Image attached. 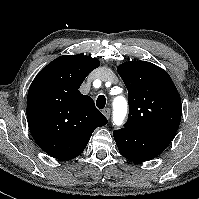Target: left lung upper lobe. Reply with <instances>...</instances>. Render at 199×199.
Masks as SVG:
<instances>
[{"label":"left lung upper lobe","instance_id":"left-lung-upper-lobe-1","mask_svg":"<svg viewBox=\"0 0 199 199\" xmlns=\"http://www.w3.org/2000/svg\"><path fill=\"white\" fill-rule=\"evenodd\" d=\"M118 73L128 90L125 128L170 143L180 124V95L166 71L146 61L125 62Z\"/></svg>","mask_w":199,"mask_h":199}]
</instances>
